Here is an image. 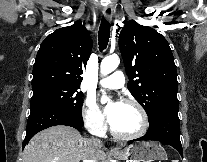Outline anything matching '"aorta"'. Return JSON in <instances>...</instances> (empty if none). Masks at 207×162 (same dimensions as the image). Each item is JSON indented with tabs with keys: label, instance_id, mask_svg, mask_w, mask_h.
<instances>
[{
	"label": "aorta",
	"instance_id": "762f6f07",
	"mask_svg": "<svg viewBox=\"0 0 207 162\" xmlns=\"http://www.w3.org/2000/svg\"><path fill=\"white\" fill-rule=\"evenodd\" d=\"M119 63H120V59L116 54L105 57L100 65L101 74L102 75L110 74L118 67ZM107 101H109L108 97L103 95L101 98V102L106 103Z\"/></svg>",
	"mask_w": 207,
	"mask_h": 162
}]
</instances>
